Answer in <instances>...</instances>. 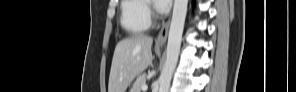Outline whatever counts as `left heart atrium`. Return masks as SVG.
Segmentation results:
<instances>
[{"label":"left heart atrium","instance_id":"39dd6f15","mask_svg":"<svg viewBox=\"0 0 296 92\" xmlns=\"http://www.w3.org/2000/svg\"><path fill=\"white\" fill-rule=\"evenodd\" d=\"M170 3V0H156L154 2L156 10L160 13H164L165 11H167Z\"/></svg>","mask_w":296,"mask_h":92}]
</instances>
